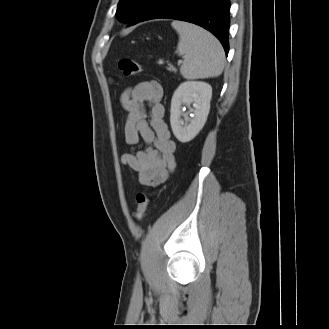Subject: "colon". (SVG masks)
I'll list each match as a JSON object with an SVG mask.
<instances>
[{
	"mask_svg": "<svg viewBox=\"0 0 329 329\" xmlns=\"http://www.w3.org/2000/svg\"><path fill=\"white\" fill-rule=\"evenodd\" d=\"M118 72L121 76H133L142 72V66L129 58L120 59L118 62ZM137 206L134 211V218L138 221L144 219L150 200L145 193L139 192L136 195Z\"/></svg>",
	"mask_w": 329,
	"mask_h": 329,
	"instance_id": "1",
	"label": "colon"
}]
</instances>
